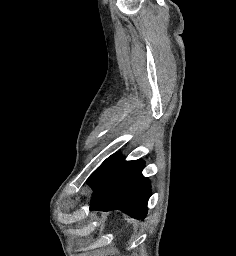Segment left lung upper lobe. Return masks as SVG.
Instances as JSON below:
<instances>
[{
  "mask_svg": "<svg viewBox=\"0 0 236 256\" xmlns=\"http://www.w3.org/2000/svg\"><path fill=\"white\" fill-rule=\"evenodd\" d=\"M121 155L116 154L107 158L88 178L87 183L93 189L98 188L114 169Z\"/></svg>",
  "mask_w": 236,
  "mask_h": 256,
  "instance_id": "5c2ea615",
  "label": "left lung upper lobe"
}]
</instances>
